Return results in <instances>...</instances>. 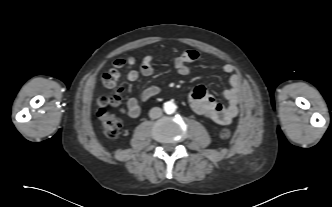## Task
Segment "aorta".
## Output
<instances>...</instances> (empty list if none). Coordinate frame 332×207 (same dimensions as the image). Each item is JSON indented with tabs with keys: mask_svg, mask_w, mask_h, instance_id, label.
<instances>
[{
	"mask_svg": "<svg viewBox=\"0 0 332 207\" xmlns=\"http://www.w3.org/2000/svg\"><path fill=\"white\" fill-rule=\"evenodd\" d=\"M164 111L167 114H173L176 111V105L172 101L164 103Z\"/></svg>",
	"mask_w": 332,
	"mask_h": 207,
	"instance_id": "1",
	"label": "aorta"
}]
</instances>
